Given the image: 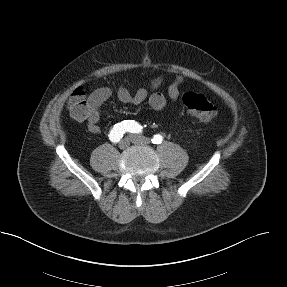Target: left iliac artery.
<instances>
[{
	"mask_svg": "<svg viewBox=\"0 0 287 287\" xmlns=\"http://www.w3.org/2000/svg\"><path fill=\"white\" fill-rule=\"evenodd\" d=\"M129 121H131L130 129H134V132H131V133H138V128H139L138 123L135 121H132V120H129ZM151 141L154 144H160L163 141V137L161 135L157 134V135H154V137L151 139Z\"/></svg>",
	"mask_w": 287,
	"mask_h": 287,
	"instance_id": "1",
	"label": "left iliac artery"
}]
</instances>
